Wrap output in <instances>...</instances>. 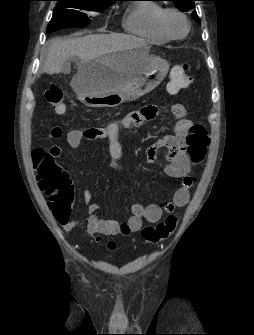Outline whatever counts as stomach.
<instances>
[{
    "instance_id": "obj_1",
    "label": "stomach",
    "mask_w": 254,
    "mask_h": 335,
    "mask_svg": "<svg viewBox=\"0 0 254 335\" xmlns=\"http://www.w3.org/2000/svg\"><path fill=\"white\" fill-rule=\"evenodd\" d=\"M146 65V69L136 74L118 91L103 89L106 78L103 77L115 71L137 69ZM89 76L77 78L78 99L88 107H117L126 101H134L156 88L165 78L169 63L149 55V47L140 45L117 53L107 59H95L88 64Z\"/></svg>"
}]
</instances>
